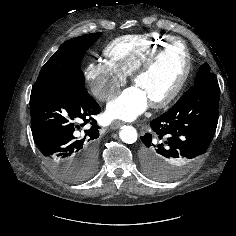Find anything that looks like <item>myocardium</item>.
Wrapping results in <instances>:
<instances>
[{
  "mask_svg": "<svg viewBox=\"0 0 236 236\" xmlns=\"http://www.w3.org/2000/svg\"><path fill=\"white\" fill-rule=\"evenodd\" d=\"M174 45H181L184 53V69L181 77L175 84V86L162 98L150 101V106L153 108H163L170 104L182 91L184 88L190 72H191V57L187 45L183 40L173 39L169 42H166L156 48L153 52H151L140 64H138L131 73V81L135 84L137 79L144 74L147 70H149L157 59L169 48Z\"/></svg>",
  "mask_w": 236,
  "mask_h": 236,
  "instance_id": "myocardium-1",
  "label": "myocardium"
}]
</instances>
